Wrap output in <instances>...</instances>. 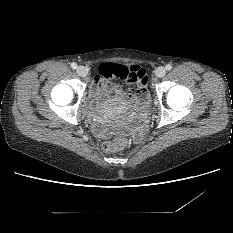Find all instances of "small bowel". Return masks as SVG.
I'll use <instances>...</instances> for the list:
<instances>
[{
    "label": "small bowel",
    "instance_id": "small-bowel-1",
    "mask_svg": "<svg viewBox=\"0 0 233 233\" xmlns=\"http://www.w3.org/2000/svg\"><path fill=\"white\" fill-rule=\"evenodd\" d=\"M118 67H123L128 72L129 78H135L137 80V86L139 95L128 92L125 93L119 84L112 81L116 76L115 70ZM98 75L94 78L92 87L90 90V98L88 100V107L100 103L103 96H114L119 99H124L128 103H133L138 108L139 99H143V95L146 91V74L145 70L137 65H123L111 62H101L98 66ZM103 123L101 120H95L92 127L95 134L98 136L104 135Z\"/></svg>",
    "mask_w": 233,
    "mask_h": 233
}]
</instances>
